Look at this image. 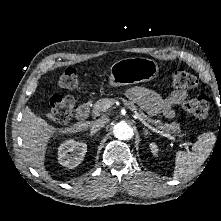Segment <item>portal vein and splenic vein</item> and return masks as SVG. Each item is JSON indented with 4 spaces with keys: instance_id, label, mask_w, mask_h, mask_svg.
Masks as SVG:
<instances>
[{
    "instance_id": "18ae733b",
    "label": "portal vein and splenic vein",
    "mask_w": 221,
    "mask_h": 221,
    "mask_svg": "<svg viewBox=\"0 0 221 221\" xmlns=\"http://www.w3.org/2000/svg\"><path fill=\"white\" fill-rule=\"evenodd\" d=\"M109 107H111V105L106 106V107H105V110L108 109ZM134 118L140 120L145 126H147V127H149L150 129L154 130V128H152L150 125H148V124L143 120V118H142L137 112H134ZM155 132L160 133L161 135L167 137L168 139L179 143V146H180V147H184V148H186V149H189V146H190L189 143L180 142V141H179L178 139H176L174 136H171L170 134L163 133V132H161V131L159 132V131L155 130Z\"/></svg>"
}]
</instances>
